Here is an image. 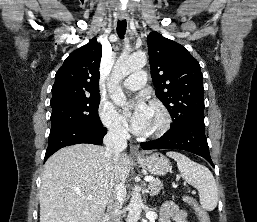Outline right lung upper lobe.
Wrapping results in <instances>:
<instances>
[{
  "label": "right lung upper lobe",
  "instance_id": "right-lung-upper-lobe-1",
  "mask_svg": "<svg viewBox=\"0 0 257 222\" xmlns=\"http://www.w3.org/2000/svg\"><path fill=\"white\" fill-rule=\"evenodd\" d=\"M101 56L102 46L95 38L73 51L56 72L51 101L100 95Z\"/></svg>",
  "mask_w": 257,
  "mask_h": 222
}]
</instances>
